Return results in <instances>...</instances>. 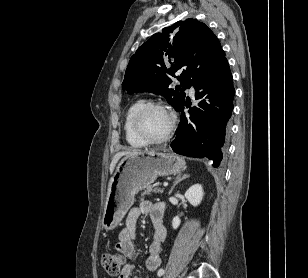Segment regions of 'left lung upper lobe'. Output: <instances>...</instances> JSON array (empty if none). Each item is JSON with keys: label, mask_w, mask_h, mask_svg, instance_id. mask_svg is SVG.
<instances>
[{"label": "left lung upper lobe", "mask_w": 308, "mask_h": 278, "mask_svg": "<svg viewBox=\"0 0 308 278\" xmlns=\"http://www.w3.org/2000/svg\"><path fill=\"white\" fill-rule=\"evenodd\" d=\"M224 59L219 40L204 23L194 19L178 21L138 48L129 61L122 87L129 94H160L178 109L185 102L184 90ZM176 74L181 87L173 90L169 85Z\"/></svg>", "instance_id": "left-lung-upper-lobe-1"}]
</instances>
